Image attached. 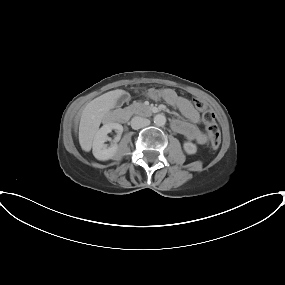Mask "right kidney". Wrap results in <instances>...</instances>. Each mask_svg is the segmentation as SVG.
<instances>
[{"label": "right kidney", "mask_w": 285, "mask_h": 285, "mask_svg": "<svg viewBox=\"0 0 285 285\" xmlns=\"http://www.w3.org/2000/svg\"><path fill=\"white\" fill-rule=\"evenodd\" d=\"M112 130L117 132V137L115 138V143L110 147H107L105 141H107V134ZM123 132V126L118 123H107L103 125L96 133L93 140V155L96 159L105 161L112 159L118 152V145L116 142L120 140L121 134Z\"/></svg>", "instance_id": "1"}]
</instances>
